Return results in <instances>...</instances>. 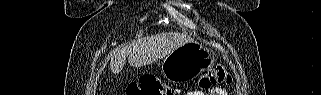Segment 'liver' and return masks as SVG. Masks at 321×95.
Returning <instances> with one entry per match:
<instances>
[{
	"mask_svg": "<svg viewBox=\"0 0 321 95\" xmlns=\"http://www.w3.org/2000/svg\"><path fill=\"white\" fill-rule=\"evenodd\" d=\"M192 41L190 36L177 32L161 33L138 39L114 54L110 61V69L115 74L120 73L127 57L131 66L141 67L151 64Z\"/></svg>",
	"mask_w": 321,
	"mask_h": 95,
	"instance_id": "6515ba94",
	"label": "liver"
}]
</instances>
